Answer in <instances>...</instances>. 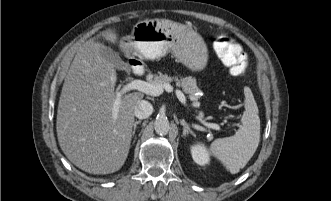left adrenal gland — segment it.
Here are the masks:
<instances>
[{"mask_svg":"<svg viewBox=\"0 0 331 201\" xmlns=\"http://www.w3.org/2000/svg\"><path fill=\"white\" fill-rule=\"evenodd\" d=\"M181 125L183 126V136L186 137L188 134H191L192 136L195 137L194 132L190 129L189 125L187 124V122L182 119L180 120Z\"/></svg>","mask_w":331,"mask_h":201,"instance_id":"1","label":"left adrenal gland"}]
</instances>
